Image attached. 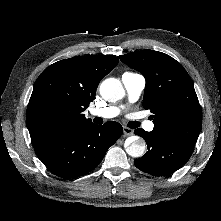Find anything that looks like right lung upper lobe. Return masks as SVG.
I'll list each match as a JSON object with an SVG mask.
<instances>
[{"label":"right lung upper lobe","instance_id":"obj_1","mask_svg":"<svg viewBox=\"0 0 221 221\" xmlns=\"http://www.w3.org/2000/svg\"><path fill=\"white\" fill-rule=\"evenodd\" d=\"M118 62L114 55H88L47 67L36 80L27 106L32 144L56 131L92 123L83 112L95 99L99 82Z\"/></svg>","mask_w":221,"mask_h":221}]
</instances>
